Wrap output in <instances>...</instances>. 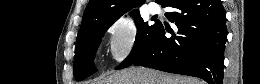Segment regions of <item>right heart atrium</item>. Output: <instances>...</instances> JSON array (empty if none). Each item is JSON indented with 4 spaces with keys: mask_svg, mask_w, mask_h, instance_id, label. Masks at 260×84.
I'll return each instance as SVG.
<instances>
[{
    "mask_svg": "<svg viewBox=\"0 0 260 84\" xmlns=\"http://www.w3.org/2000/svg\"><path fill=\"white\" fill-rule=\"evenodd\" d=\"M109 49L112 59L121 63L134 52L138 41V27L134 20L122 16L107 27Z\"/></svg>",
    "mask_w": 260,
    "mask_h": 84,
    "instance_id": "d8ad5b80",
    "label": "right heart atrium"
}]
</instances>
